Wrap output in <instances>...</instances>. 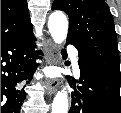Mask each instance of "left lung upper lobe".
I'll list each match as a JSON object with an SVG mask.
<instances>
[{"label": "left lung upper lobe", "instance_id": "left-lung-upper-lobe-1", "mask_svg": "<svg viewBox=\"0 0 121 113\" xmlns=\"http://www.w3.org/2000/svg\"><path fill=\"white\" fill-rule=\"evenodd\" d=\"M52 10L69 16L67 41L79 53L120 81L114 21L104 0H54Z\"/></svg>", "mask_w": 121, "mask_h": 113}]
</instances>
